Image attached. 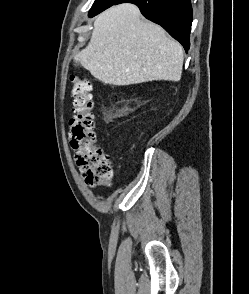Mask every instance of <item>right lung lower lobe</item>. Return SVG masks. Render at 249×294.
Here are the masks:
<instances>
[{
  "instance_id": "98d812e1",
  "label": "right lung lower lobe",
  "mask_w": 249,
  "mask_h": 294,
  "mask_svg": "<svg viewBox=\"0 0 249 294\" xmlns=\"http://www.w3.org/2000/svg\"><path fill=\"white\" fill-rule=\"evenodd\" d=\"M124 2L136 4L147 19L161 25L184 46L186 52L189 50L192 24L190 0H119L115 4Z\"/></svg>"
}]
</instances>
